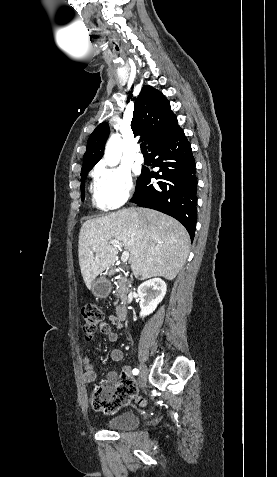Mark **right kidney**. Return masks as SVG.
I'll return each mask as SVG.
<instances>
[{
    "instance_id": "right-kidney-1",
    "label": "right kidney",
    "mask_w": 277,
    "mask_h": 477,
    "mask_svg": "<svg viewBox=\"0 0 277 477\" xmlns=\"http://www.w3.org/2000/svg\"><path fill=\"white\" fill-rule=\"evenodd\" d=\"M166 284L160 278L143 282L137 290L140 299V316L145 317L155 311L166 294Z\"/></svg>"
}]
</instances>
